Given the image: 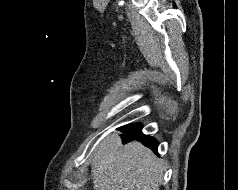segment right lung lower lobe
<instances>
[{
    "label": "right lung lower lobe",
    "instance_id": "right-lung-lower-lobe-1",
    "mask_svg": "<svg viewBox=\"0 0 238 190\" xmlns=\"http://www.w3.org/2000/svg\"><path fill=\"white\" fill-rule=\"evenodd\" d=\"M141 129V123L128 124L121 127L120 130L124 133L123 143L126 144L132 140H138L145 146L157 152L158 142L154 138L144 135L141 132Z\"/></svg>",
    "mask_w": 238,
    "mask_h": 190
}]
</instances>
